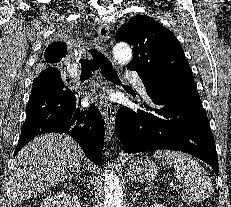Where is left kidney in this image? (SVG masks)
I'll list each match as a JSON object with an SVG mask.
<instances>
[{"label":"left kidney","mask_w":231,"mask_h":207,"mask_svg":"<svg viewBox=\"0 0 231 207\" xmlns=\"http://www.w3.org/2000/svg\"><path fill=\"white\" fill-rule=\"evenodd\" d=\"M150 207H166V206H164V205L161 204V203L155 202V203H153Z\"/></svg>","instance_id":"obj_1"}]
</instances>
